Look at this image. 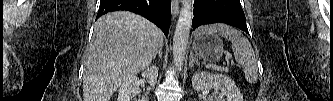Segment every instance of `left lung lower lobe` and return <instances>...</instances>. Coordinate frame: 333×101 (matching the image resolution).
<instances>
[{
	"mask_svg": "<svg viewBox=\"0 0 333 101\" xmlns=\"http://www.w3.org/2000/svg\"><path fill=\"white\" fill-rule=\"evenodd\" d=\"M211 23H225L248 33L240 0H195L193 28Z\"/></svg>",
	"mask_w": 333,
	"mask_h": 101,
	"instance_id": "obj_1",
	"label": "left lung lower lobe"
}]
</instances>
